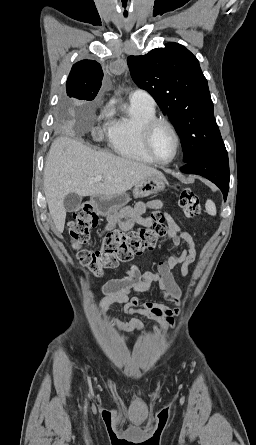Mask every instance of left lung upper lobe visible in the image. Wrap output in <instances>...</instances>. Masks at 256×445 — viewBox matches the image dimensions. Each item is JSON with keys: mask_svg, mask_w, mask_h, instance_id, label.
I'll return each instance as SVG.
<instances>
[{"mask_svg": "<svg viewBox=\"0 0 256 445\" xmlns=\"http://www.w3.org/2000/svg\"><path fill=\"white\" fill-rule=\"evenodd\" d=\"M132 79L155 99L175 125L184 162L227 152L214 118L208 83L197 58L170 42L143 56L127 59Z\"/></svg>", "mask_w": 256, "mask_h": 445, "instance_id": "1", "label": "left lung upper lobe"}]
</instances>
